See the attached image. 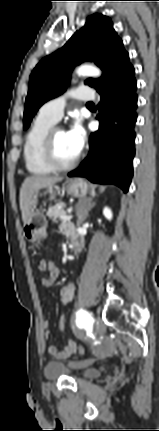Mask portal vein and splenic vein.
Instances as JSON below:
<instances>
[{
    "instance_id": "obj_1",
    "label": "portal vein and splenic vein",
    "mask_w": 159,
    "mask_h": 431,
    "mask_svg": "<svg viewBox=\"0 0 159 431\" xmlns=\"http://www.w3.org/2000/svg\"><path fill=\"white\" fill-rule=\"evenodd\" d=\"M72 215H67V214H63L61 217H60V219L62 220V221H69V220H71L72 219Z\"/></svg>"
}]
</instances>
